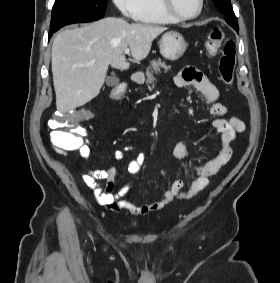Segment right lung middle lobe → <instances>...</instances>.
Masks as SVG:
<instances>
[{"label":"right lung middle lobe","mask_w":280,"mask_h":283,"mask_svg":"<svg viewBox=\"0 0 280 283\" xmlns=\"http://www.w3.org/2000/svg\"><path fill=\"white\" fill-rule=\"evenodd\" d=\"M107 0H56L52 8L50 31L73 23H86L104 16Z\"/></svg>","instance_id":"1"}]
</instances>
